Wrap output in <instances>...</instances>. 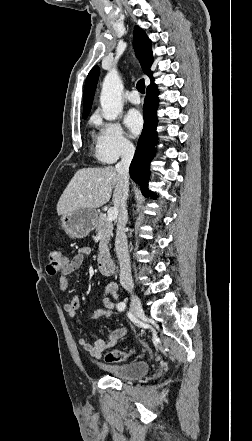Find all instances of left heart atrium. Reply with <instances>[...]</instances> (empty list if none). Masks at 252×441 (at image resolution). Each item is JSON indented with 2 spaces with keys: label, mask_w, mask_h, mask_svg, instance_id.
Here are the masks:
<instances>
[{
  "label": "left heart atrium",
  "mask_w": 252,
  "mask_h": 441,
  "mask_svg": "<svg viewBox=\"0 0 252 441\" xmlns=\"http://www.w3.org/2000/svg\"><path fill=\"white\" fill-rule=\"evenodd\" d=\"M125 124L132 135H137L143 128V119L136 110L130 111L125 117Z\"/></svg>",
  "instance_id": "1"
}]
</instances>
